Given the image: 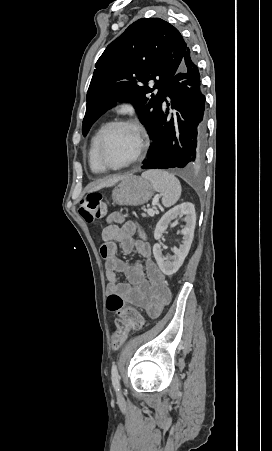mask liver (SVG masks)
Instances as JSON below:
<instances>
[{
    "label": "liver",
    "instance_id": "liver-1",
    "mask_svg": "<svg viewBox=\"0 0 272 451\" xmlns=\"http://www.w3.org/2000/svg\"><path fill=\"white\" fill-rule=\"evenodd\" d=\"M125 176H114V178H109L107 182H101V184H98V186H95L93 190H100V188H105V186H114V184H117L119 180H123Z\"/></svg>",
    "mask_w": 272,
    "mask_h": 451
}]
</instances>
